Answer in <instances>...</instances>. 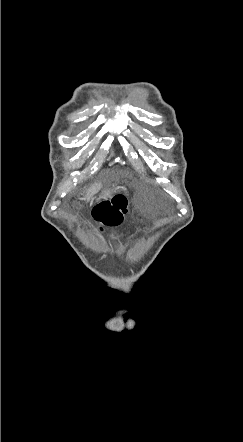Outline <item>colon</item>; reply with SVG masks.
<instances>
[{
	"label": "colon",
	"mask_w": 243,
	"mask_h": 442,
	"mask_svg": "<svg viewBox=\"0 0 243 442\" xmlns=\"http://www.w3.org/2000/svg\"><path fill=\"white\" fill-rule=\"evenodd\" d=\"M128 201L122 194L100 202L95 206L92 219L102 226L118 227L123 224L127 213Z\"/></svg>",
	"instance_id": "colon-1"
}]
</instances>
